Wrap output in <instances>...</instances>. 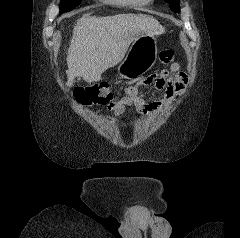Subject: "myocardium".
I'll use <instances>...</instances> for the list:
<instances>
[{
    "mask_svg": "<svg viewBox=\"0 0 240 238\" xmlns=\"http://www.w3.org/2000/svg\"><path fill=\"white\" fill-rule=\"evenodd\" d=\"M147 2H151V1H153V0H146ZM129 2H133V0H129Z\"/></svg>",
    "mask_w": 240,
    "mask_h": 238,
    "instance_id": "f54148a6",
    "label": "myocardium"
}]
</instances>
